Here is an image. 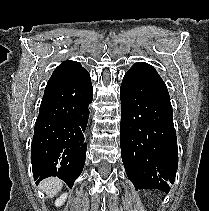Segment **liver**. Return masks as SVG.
<instances>
[{
  "label": "liver",
  "instance_id": "liver-1",
  "mask_svg": "<svg viewBox=\"0 0 209 211\" xmlns=\"http://www.w3.org/2000/svg\"><path fill=\"white\" fill-rule=\"evenodd\" d=\"M39 187L49 198H52L61 190L63 187V182L54 177L46 178L40 183Z\"/></svg>",
  "mask_w": 209,
  "mask_h": 211
}]
</instances>
